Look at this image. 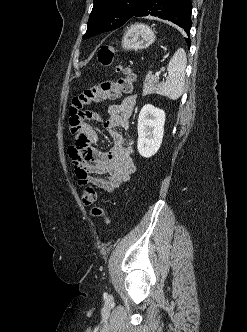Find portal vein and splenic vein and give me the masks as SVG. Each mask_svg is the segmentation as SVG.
<instances>
[{
	"mask_svg": "<svg viewBox=\"0 0 247 332\" xmlns=\"http://www.w3.org/2000/svg\"><path fill=\"white\" fill-rule=\"evenodd\" d=\"M160 74H161V71L156 72V77H159Z\"/></svg>",
	"mask_w": 247,
	"mask_h": 332,
	"instance_id": "obj_1",
	"label": "portal vein and splenic vein"
}]
</instances>
